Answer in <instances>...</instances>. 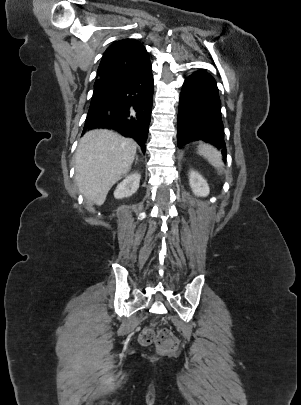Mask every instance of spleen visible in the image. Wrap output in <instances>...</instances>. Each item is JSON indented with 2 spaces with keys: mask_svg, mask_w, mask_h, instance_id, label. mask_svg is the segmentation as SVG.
I'll return each instance as SVG.
<instances>
[{
  "mask_svg": "<svg viewBox=\"0 0 301 405\" xmlns=\"http://www.w3.org/2000/svg\"><path fill=\"white\" fill-rule=\"evenodd\" d=\"M198 154L205 157L208 162L214 166L215 168L222 170L223 169V161L220 152H218L212 146L201 144L198 146Z\"/></svg>",
  "mask_w": 301,
  "mask_h": 405,
  "instance_id": "1",
  "label": "spleen"
}]
</instances>
